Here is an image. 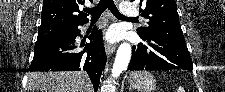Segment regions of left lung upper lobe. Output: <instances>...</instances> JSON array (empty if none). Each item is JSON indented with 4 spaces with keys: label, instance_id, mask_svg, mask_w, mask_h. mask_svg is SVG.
I'll return each mask as SVG.
<instances>
[{
    "label": "left lung upper lobe",
    "instance_id": "5c2ea615",
    "mask_svg": "<svg viewBox=\"0 0 225 92\" xmlns=\"http://www.w3.org/2000/svg\"><path fill=\"white\" fill-rule=\"evenodd\" d=\"M133 2V0H131ZM145 7L141 16L149 19L148 26L137 29L142 38H170L185 42L175 0H140Z\"/></svg>",
    "mask_w": 225,
    "mask_h": 92
}]
</instances>
